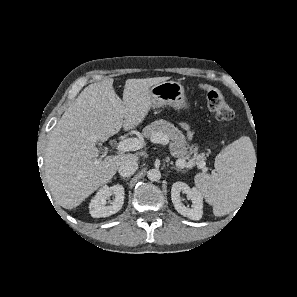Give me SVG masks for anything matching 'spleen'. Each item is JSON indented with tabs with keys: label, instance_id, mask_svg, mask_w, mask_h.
Segmentation results:
<instances>
[{
	"label": "spleen",
	"instance_id": "1",
	"mask_svg": "<svg viewBox=\"0 0 297 297\" xmlns=\"http://www.w3.org/2000/svg\"><path fill=\"white\" fill-rule=\"evenodd\" d=\"M250 139L242 136L224 148L215 159L216 173L197 174L195 183L215 216L231 212L250 184L256 164Z\"/></svg>",
	"mask_w": 297,
	"mask_h": 297
}]
</instances>
